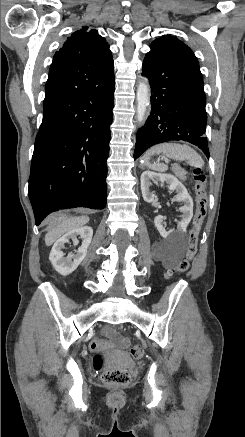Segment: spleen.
<instances>
[{"instance_id": "3e777b00", "label": "spleen", "mask_w": 245, "mask_h": 437, "mask_svg": "<svg viewBox=\"0 0 245 437\" xmlns=\"http://www.w3.org/2000/svg\"><path fill=\"white\" fill-rule=\"evenodd\" d=\"M155 154H163L169 158L179 161L187 160L188 163L194 167H202L204 165V160L202 157L190 146L173 142L162 143L149 148L143 156L145 164L149 168L159 172L167 171L168 166L160 162H154L152 164L149 163L150 156Z\"/></svg>"}]
</instances>
